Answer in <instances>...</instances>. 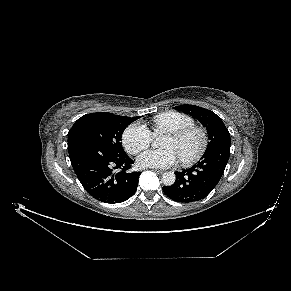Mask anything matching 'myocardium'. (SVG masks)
<instances>
[{"mask_svg": "<svg viewBox=\"0 0 291 291\" xmlns=\"http://www.w3.org/2000/svg\"><path fill=\"white\" fill-rule=\"evenodd\" d=\"M191 134H198L200 141L196 151L193 154L187 157L180 158L181 162L186 165L196 162L203 155L208 145L207 130L202 126L192 125L175 131L168 132V135L179 140L184 139L185 137Z\"/></svg>", "mask_w": 291, "mask_h": 291, "instance_id": "obj_1", "label": "myocardium"}]
</instances>
